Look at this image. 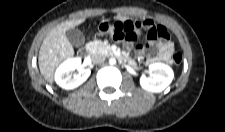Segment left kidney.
I'll return each instance as SVG.
<instances>
[{
    "instance_id": "left-kidney-1",
    "label": "left kidney",
    "mask_w": 225,
    "mask_h": 132,
    "mask_svg": "<svg viewBox=\"0 0 225 132\" xmlns=\"http://www.w3.org/2000/svg\"><path fill=\"white\" fill-rule=\"evenodd\" d=\"M150 76L142 75L140 85L143 89L158 93L163 91L173 80L174 72L170 66L164 63L149 65Z\"/></svg>"
}]
</instances>
